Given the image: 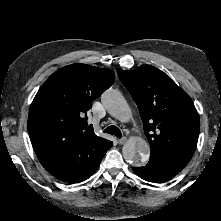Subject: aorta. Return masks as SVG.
Segmentation results:
<instances>
[{
    "mask_svg": "<svg viewBox=\"0 0 221 221\" xmlns=\"http://www.w3.org/2000/svg\"><path fill=\"white\" fill-rule=\"evenodd\" d=\"M101 102L107 111L121 122H127L130 118V107L123 95L115 90L108 89L101 95ZM150 146L143 139H129L122 148V154L126 162L141 166L149 158Z\"/></svg>",
    "mask_w": 221,
    "mask_h": 221,
    "instance_id": "1",
    "label": "aorta"
}]
</instances>
